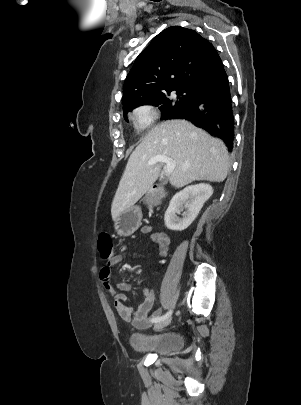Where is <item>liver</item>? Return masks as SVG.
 <instances>
[{"label":"liver","mask_w":301,"mask_h":405,"mask_svg":"<svg viewBox=\"0 0 301 405\" xmlns=\"http://www.w3.org/2000/svg\"><path fill=\"white\" fill-rule=\"evenodd\" d=\"M157 155L175 161L170 184L181 188L193 181L222 182L229 169L224 143L186 120H169L152 128L130 155L114 196L111 215L115 222L151 188L161 171L160 163L148 166Z\"/></svg>","instance_id":"obj_1"}]
</instances>
